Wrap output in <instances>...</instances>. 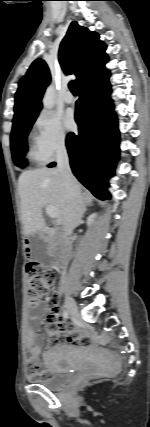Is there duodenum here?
Instances as JSON below:
<instances>
[{"label": "duodenum", "mask_w": 150, "mask_h": 427, "mask_svg": "<svg viewBox=\"0 0 150 427\" xmlns=\"http://www.w3.org/2000/svg\"><path fill=\"white\" fill-rule=\"evenodd\" d=\"M55 241L57 253L54 259V265L59 268H64L68 264L70 258L69 242L66 238L59 235L56 236Z\"/></svg>", "instance_id": "obj_1"}]
</instances>
